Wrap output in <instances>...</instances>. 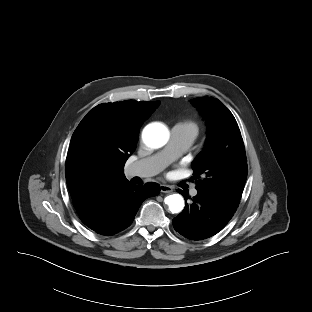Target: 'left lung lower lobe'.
Here are the masks:
<instances>
[{
  "label": "left lung lower lobe",
  "mask_w": 312,
  "mask_h": 312,
  "mask_svg": "<svg viewBox=\"0 0 312 312\" xmlns=\"http://www.w3.org/2000/svg\"><path fill=\"white\" fill-rule=\"evenodd\" d=\"M182 195L184 192L178 190ZM236 208L223 199L198 192L191 205L172 220L177 232L192 240H201L217 234L232 218Z\"/></svg>",
  "instance_id": "left-lung-lower-lobe-1"
}]
</instances>
